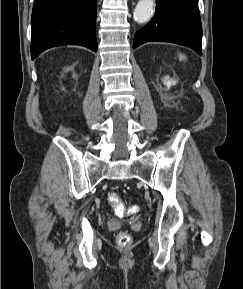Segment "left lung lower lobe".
I'll return each instance as SVG.
<instances>
[{"label":"left lung lower lobe","mask_w":243,"mask_h":289,"mask_svg":"<svg viewBox=\"0 0 243 289\" xmlns=\"http://www.w3.org/2000/svg\"><path fill=\"white\" fill-rule=\"evenodd\" d=\"M156 4L154 17L136 32L133 49L146 42H171L202 55L198 0H157Z\"/></svg>","instance_id":"1"}]
</instances>
